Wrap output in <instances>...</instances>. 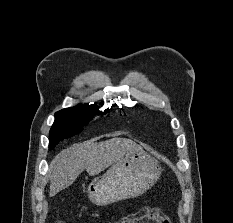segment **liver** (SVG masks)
I'll return each instance as SVG.
<instances>
[{
	"instance_id": "obj_1",
	"label": "liver",
	"mask_w": 233,
	"mask_h": 223,
	"mask_svg": "<svg viewBox=\"0 0 233 223\" xmlns=\"http://www.w3.org/2000/svg\"><path fill=\"white\" fill-rule=\"evenodd\" d=\"M134 147H139V145L132 139L112 137L107 141L74 143L68 149H63L53 157L50 163V197L72 185L84 169L89 175H98L119 159L123 153H127Z\"/></svg>"
}]
</instances>
